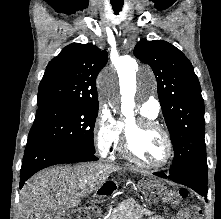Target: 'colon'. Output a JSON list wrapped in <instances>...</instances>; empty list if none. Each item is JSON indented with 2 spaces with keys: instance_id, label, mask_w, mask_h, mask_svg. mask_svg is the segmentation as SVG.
<instances>
[{
  "instance_id": "5ec220e1",
  "label": "colon",
  "mask_w": 221,
  "mask_h": 219,
  "mask_svg": "<svg viewBox=\"0 0 221 219\" xmlns=\"http://www.w3.org/2000/svg\"><path fill=\"white\" fill-rule=\"evenodd\" d=\"M178 195L186 197L187 192L180 190ZM59 219H86V215L82 210L75 209L62 214ZM178 219H201L200 209L197 206L187 207L180 212Z\"/></svg>"
}]
</instances>
